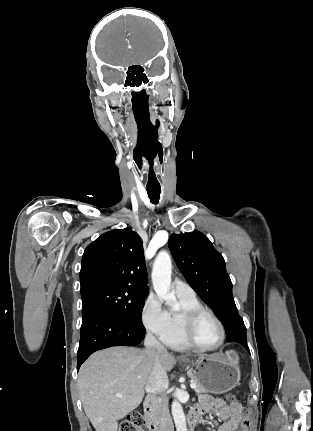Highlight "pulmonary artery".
<instances>
[{
	"label": "pulmonary artery",
	"instance_id": "1",
	"mask_svg": "<svg viewBox=\"0 0 313 431\" xmlns=\"http://www.w3.org/2000/svg\"><path fill=\"white\" fill-rule=\"evenodd\" d=\"M172 287L177 295H181V296L195 295L193 288L189 284H187L186 282L180 279H175L173 281Z\"/></svg>",
	"mask_w": 313,
	"mask_h": 431
}]
</instances>
